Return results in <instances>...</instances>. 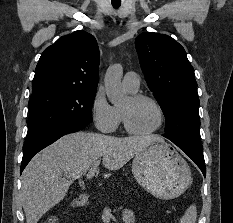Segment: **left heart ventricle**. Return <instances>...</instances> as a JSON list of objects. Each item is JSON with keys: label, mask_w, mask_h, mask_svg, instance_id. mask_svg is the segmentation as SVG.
Listing matches in <instances>:
<instances>
[{"label": "left heart ventricle", "mask_w": 233, "mask_h": 223, "mask_svg": "<svg viewBox=\"0 0 233 223\" xmlns=\"http://www.w3.org/2000/svg\"><path fill=\"white\" fill-rule=\"evenodd\" d=\"M131 128L137 132H149L160 122L158 110L150 101H131L129 98L122 105Z\"/></svg>", "instance_id": "obj_1"}]
</instances>
